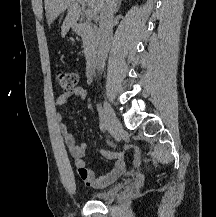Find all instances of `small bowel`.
Instances as JSON below:
<instances>
[{
    "label": "small bowel",
    "mask_w": 216,
    "mask_h": 217,
    "mask_svg": "<svg viewBox=\"0 0 216 217\" xmlns=\"http://www.w3.org/2000/svg\"><path fill=\"white\" fill-rule=\"evenodd\" d=\"M88 82H92V77H89ZM88 95L86 88L77 86L72 90L62 92L56 99L57 106H63L68 103L72 98L85 99ZM59 131L62 135L63 142L73 159V162L77 168L80 179L88 186L101 188L106 187L116 180H118L125 171V152H108L106 150H101V155L108 160H113L114 165L110 171L103 175H96L88 166L84 160L87 143L81 142L77 143L75 137L70 133L66 123L63 121L61 114L57 116ZM129 150L134 151V160L132 169L135 170L140 165L139 154L135 147H129Z\"/></svg>",
    "instance_id": "1"
}]
</instances>
